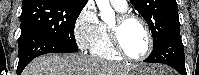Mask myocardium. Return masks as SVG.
Masks as SVG:
<instances>
[{"mask_svg":"<svg viewBox=\"0 0 199 75\" xmlns=\"http://www.w3.org/2000/svg\"><path fill=\"white\" fill-rule=\"evenodd\" d=\"M130 20H135L139 22L141 26L143 27L145 34L147 36V50L145 51L143 55L139 57L130 56L124 49L121 42V37H120L121 29L124 26V24ZM107 28H108L109 37L114 49L124 59L129 60V61L139 62V61H144L151 54L153 50V36L147 22L142 17L134 13H129V12L119 13L115 17L114 21L107 26Z\"/></svg>","mask_w":199,"mask_h":75,"instance_id":"myocardium-1","label":"myocardium"}]
</instances>
